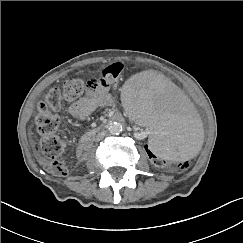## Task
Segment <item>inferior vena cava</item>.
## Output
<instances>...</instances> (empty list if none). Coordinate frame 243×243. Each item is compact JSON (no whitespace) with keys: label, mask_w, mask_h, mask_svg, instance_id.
Masks as SVG:
<instances>
[{"label":"inferior vena cava","mask_w":243,"mask_h":243,"mask_svg":"<svg viewBox=\"0 0 243 243\" xmlns=\"http://www.w3.org/2000/svg\"><path fill=\"white\" fill-rule=\"evenodd\" d=\"M107 135L106 131H101L99 132L96 137H95V141L99 142L100 140H102L105 136Z\"/></svg>","instance_id":"1"}]
</instances>
